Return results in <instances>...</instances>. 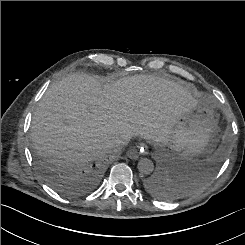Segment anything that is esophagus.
Segmentation results:
<instances>
[{"mask_svg": "<svg viewBox=\"0 0 245 245\" xmlns=\"http://www.w3.org/2000/svg\"><path fill=\"white\" fill-rule=\"evenodd\" d=\"M138 154H142V155L148 154V149L145 144H139L135 149L128 152V156L130 158H136Z\"/></svg>", "mask_w": 245, "mask_h": 245, "instance_id": "esophagus-1", "label": "esophagus"}]
</instances>
